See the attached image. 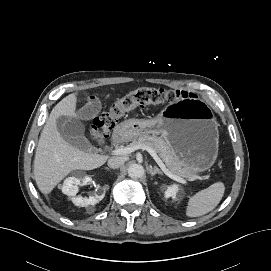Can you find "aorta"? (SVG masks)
Wrapping results in <instances>:
<instances>
[{
	"instance_id": "1",
	"label": "aorta",
	"mask_w": 271,
	"mask_h": 271,
	"mask_svg": "<svg viewBox=\"0 0 271 271\" xmlns=\"http://www.w3.org/2000/svg\"><path fill=\"white\" fill-rule=\"evenodd\" d=\"M128 175L133 179L141 178L144 175V168L140 164H131L128 167Z\"/></svg>"
}]
</instances>
